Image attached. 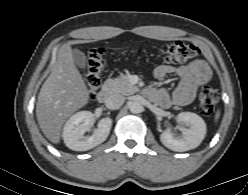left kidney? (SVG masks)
I'll use <instances>...</instances> for the list:
<instances>
[{
  "instance_id": "1",
  "label": "left kidney",
  "mask_w": 248,
  "mask_h": 195,
  "mask_svg": "<svg viewBox=\"0 0 248 195\" xmlns=\"http://www.w3.org/2000/svg\"><path fill=\"white\" fill-rule=\"evenodd\" d=\"M177 120L186 123L190 127L184 129L183 136L175 137L171 130H166L160 135V140L168 149L183 152L196 148L200 145L206 134V124L197 114L182 112Z\"/></svg>"
}]
</instances>
